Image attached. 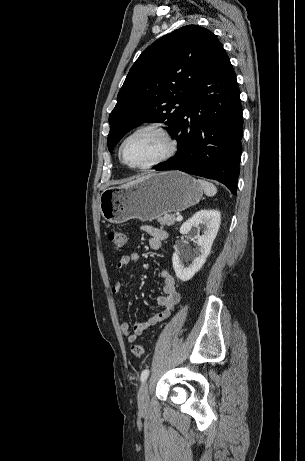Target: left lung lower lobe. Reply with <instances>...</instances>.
<instances>
[{"label":"left lung lower lobe","instance_id":"obj_1","mask_svg":"<svg viewBox=\"0 0 305 461\" xmlns=\"http://www.w3.org/2000/svg\"><path fill=\"white\" fill-rule=\"evenodd\" d=\"M242 135L240 92L223 49L189 94L185 113L172 134L178 142L176 155L153 169L214 179L236 195Z\"/></svg>","mask_w":305,"mask_h":461}]
</instances>
